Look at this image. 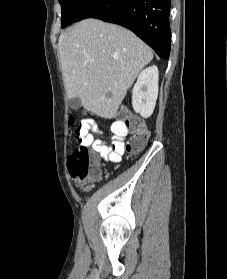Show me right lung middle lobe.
Wrapping results in <instances>:
<instances>
[{
  "label": "right lung middle lobe",
  "mask_w": 227,
  "mask_h": 279,
  "mask_svg": "<svg viewBox=\"0 0 227 279\" xmlns=\"http://www.w3.org/2000/svg\"><path fill=\"white\" fill-rule=\"evenodd\" d=\"M85 1L86 0H59L62 8L61 25L63 28L73 22Z\"/></svg>",
  "instance_id": "1"
}]
</instances>
